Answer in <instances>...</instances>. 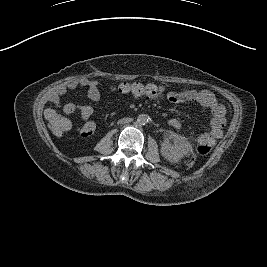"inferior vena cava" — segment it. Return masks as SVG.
<instances>
[{"instance_id":"obj_1","label":"inferior vena cava","mask_w":267,"mask_h":267,"mask_svg":"<svg viewBox=\"0 0 267 267\" xmlns=\"http://www.w3.org/2000/svg\"><path fill=\"white\" fill-rule=\"evenodd\" d=\"M131 121H132V118H123V119L120 120V123L121 124H125V123H129Z\"/></svg>"}]
</instances>
